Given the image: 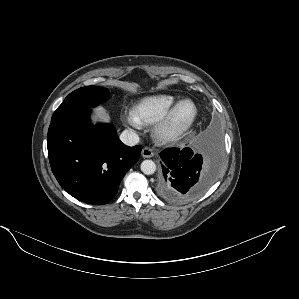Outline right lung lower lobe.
<instances>
[{"label": "right lung lower lobe", "mask_w": 299, "mask_h": 299, "mask_svg": "<svg viewBox=\"0 0 299 299\" xmlns=\"http://www.w3.org/2000/svg\"><path fill=\"white\" fill-rule=\"evenodd\" d=\"M90 112L79 108L51 120L48 156L52 172L66 192L82 202L102 205L116 195L142 148L124 145L110 124L92 125Z\"/></svg>", "instance_id": "obj_1"}]
</instances>
